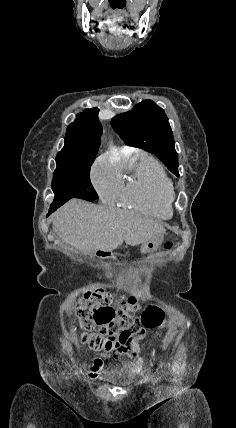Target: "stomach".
<instances>
[{
  "mask_svg": "<svg viewBox=\"0 0 236 428\" xmlns=\"http://www.w3.org/2000/svg\"><path fill=\"white\" fill-rule=\"evenodd\" d=\"M162 242V236H158V238H153V240H150V242H144V244H142L141 246V254H151V252H156L157 248H159Z\"/></svg>",
  "mask_w": 236,
  "mask_h": 428,
  "instance_id": "obj_1",
  "label": "stomach"
}]
</instances>
